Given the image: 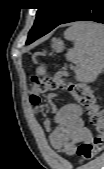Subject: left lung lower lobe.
<instances>
[{"label":"left lung lower lobe","instance_id":"obj_1","mask_svg":"<svg viewBox=\"0 0 104 169\" xmlns=\"http://www.w3.org/2000/svg\"><path fill=\"white\" fill-rule=\"evenodd\" d=\"M101 6L102 4L99 3V1L95 2L94 0H77L75 8L60 24L74 21H95L104 23V9ZM48 32L50 31L34 32L28 37L26 44L32 43Z\"/></svg>","mask_w":104,"mask_h":169}]
</instances>
